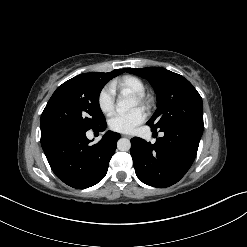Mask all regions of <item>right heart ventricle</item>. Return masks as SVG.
I'll use <instances>...</instances> for the list:
<instances>
[{"label":"right heart ventricle","instance_id":"obj_1","mask_svg":"<svg viewBox=\"0 0 247 247\" xmlns=\"http://www.w3.org/2000/svg\"><path fill=\"white\" fill-rule=\"evenodd\" d=\"M114 87L121 92H128L133 95L143 94L146 91V86L142 79L133 75H126L122 77L115 83Z\"/></svg>","mask_w":247,"mask_h":247}]
</instances>
